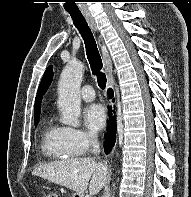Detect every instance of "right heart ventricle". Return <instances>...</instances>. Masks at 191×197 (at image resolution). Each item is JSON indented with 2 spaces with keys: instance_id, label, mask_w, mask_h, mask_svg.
I'll list each match as a JSON object with an SVG mask.
<instances>
[{
  "instance_id": "e07e8e85",
  "label": "right heart ventricle",
  "mask_w": 191,
  "mask_h": 197,
  "mask_svg": "<svg viewBox=\"0 0 191 197\" xmlns=\"http://www.w3.org/2000/svg\"><path fill=\"white\" fill-rule=\"evenodd\" d=\"M40 147L42 153L50 159L66 160L72 156L64 145L63 127L51 120H46L43 124Z\"/></svg>"
}]
</instances>
